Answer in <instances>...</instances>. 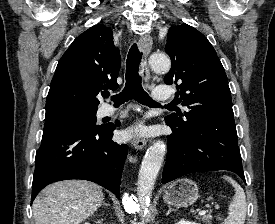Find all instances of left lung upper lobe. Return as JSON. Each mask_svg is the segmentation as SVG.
<instances>
[{
	"instance_id": "5c2ea615",
	"label": "left lung upper lobe",
	"mask_w": 275,
	"mask_h": 224,
	"mask_svg": "<svg viewBox=\"0 0 275 224\" xmlns=\"http://www.w3.org/2000/svg\"><path fill=\"white\" fill-rule=\"evenodd\" d=\"M165 51L171 58V70L164 82L177 84V101L188 108L165 120L182 130L209 124L236 131L227 76L207 38L187 24L170 27Z\"/></svg>"
}]
</instances>
